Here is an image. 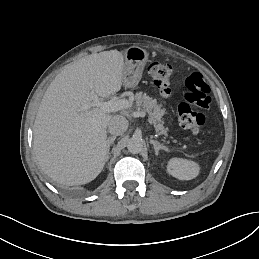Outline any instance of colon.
Returning <instances> with one entry per match:
<instances>
[{
    "instance_id": "colon-1",
    "label": "colon",
    "mask_w": 259,
    "mask_h": 259,
    "mask_svg": "<svg viewBox=\"0 0 259 259\" xmlns=\"http://www.w3.org/2000/svg\"><path fill=\"white\" fill-rule=\"evenodd\" d=\"M153 84L164 97L171 94L173 70L167 63L154 62L149 66ZM210 87L200 72L191 73L185 80V101L178 104V121L182 128L198 134L205 124V115L201 110L210 107Z\"/></svg>"
}]
</instances>
